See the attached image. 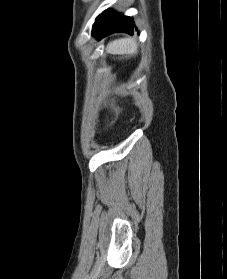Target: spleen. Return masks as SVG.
<instances>
[{"label": "spleen", "mask_w": 227, "mask_h": 279, "mask_svg": "<svg viewBox=\"0 0 227 279\" xmlns=\"http://www.w3.org/2000/svg\"><path fill=\"white\" fill-rule=\"evenodd\" d=\"M106 50L111 54H133L137 52V44L132 38L117 39L110 42Z\"/></svg>", "instance_id": "3e777b00"}]
</instances>
